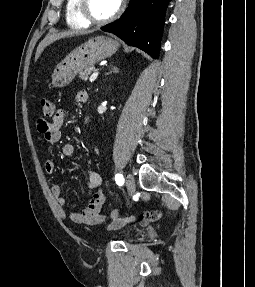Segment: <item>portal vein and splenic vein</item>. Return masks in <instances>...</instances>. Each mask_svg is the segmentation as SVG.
<instances>
[{"instance_id": "18ae733b", "label": "portal vein and splenic vein", "mask_w": 255, "mask_h": 287, "mask_svg": "<svg viewBox=\"0 0 255 287\" xmlns=\"http://www.w3.org/2000/svg\"><path fill=\"white\" fill-rule=\"evenodd\" d=\"M98 74H99V72H94V74H92V76H90L89 82H94V80H96Z\"/></svg>"}]
</instances>
